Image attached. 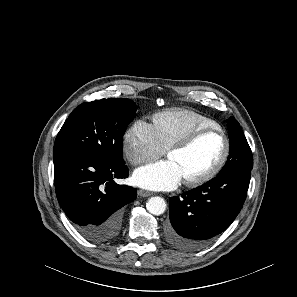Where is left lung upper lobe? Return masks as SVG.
<instances>
[{"label":"left lung upper lobe","instance_id":"1","mask_svg":"<svg viewBox=\"0 0 297 297\" xmlns=\"http://www.w3.org/2000/svg\"><path fill=\"white\" fill-rule=\"evenodd\" d=\"M228 122L230 153L226 164L219 174H245L253 168V156L240 124L234 117Z\"/></svg>","mask_w":297,"mask_h":297}]
</instances>
